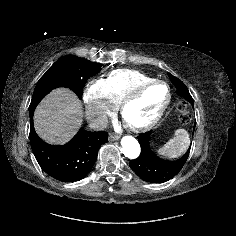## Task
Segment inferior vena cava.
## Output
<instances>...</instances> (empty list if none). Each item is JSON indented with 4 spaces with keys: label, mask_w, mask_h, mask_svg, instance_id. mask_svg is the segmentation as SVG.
Listing matches in <instances>:
<instances>
[{
    "label": "inferior vena cava",
    "mask_w": 236,
    "mask_h": 236,
    "mask_svg": "<svg viewBox=\"0 0 236 236\" xmlns=\"http://www.w3.org/2000/svg\"><path fill=\"white\" fill-rule=\"evenodd\" d=\"M90 127L93 130H103L108 125V118L106 115H100L90 121Z\"/></svg>",
    "instance_id": "inferior-vena-cava-1"
}]
</instances>
